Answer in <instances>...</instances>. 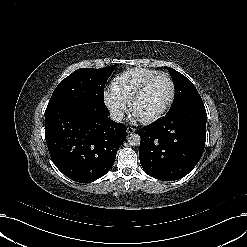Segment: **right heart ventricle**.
I'll list each match as a JSON object with an SVG mask.
<instances>
[{"label": "right heart ventricle", "mask_w": 247, "mask_h": 247, "mask_svg": "<svg viewBox=\"0 0 247 247\" xmlns=\"http://www.w3.org/2000/svg\"><path fill=\"white\" fill-rule=\"evenodd\" d=\"M159 71L149 68H133L117 76L111 86V94L126 104L138 88Z\"/></svg>", "instance_id": "obj_1"}]
</instances>
